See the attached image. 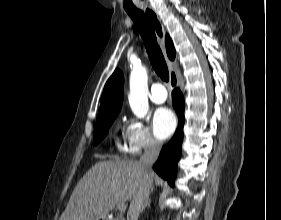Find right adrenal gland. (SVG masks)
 Returning <instances> with one entry per match:
<instances>
[{
  "instance_id": "obj_1",
  "label": "right adrenal gland",
  "mask_w": 281,
  "mask_h": 220,
  "mask_svg": "<svg viewBox=\"0 0 281 220\" xmlns=\"http://www.w3.org/2000/svg\"><path fill=\"white\" fill-rule=\"evenodd\" d=\"M150 204H151V201H150V198H149V196H148V197L146 198V201H145L143 207H142L141 212H142L146 207H150Z\"/></svg>"
}]
</instances>
